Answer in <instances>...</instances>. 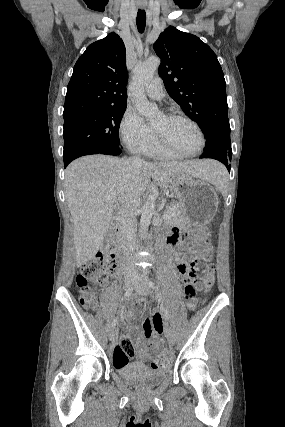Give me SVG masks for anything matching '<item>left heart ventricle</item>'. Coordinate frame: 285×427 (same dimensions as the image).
I'll list each match as a JSON object with an SVG mask.
<instances>
[{"instance_id":"obj_1","label":"left heart ventricle","mask_w":285,"mask_h":427,"mask_svg":"<svg viewBox=\"0 0 285 427\" xmlns=\"http://www.w3.org/2000/svg\"><path fill=\"white\" fill-rule=\"evenodd\" d=\"M153 127L177 149L194 152L200 144L196 129L188 122L172 119L160 114L153 122Z\"/></svg>"}]
</instances>
